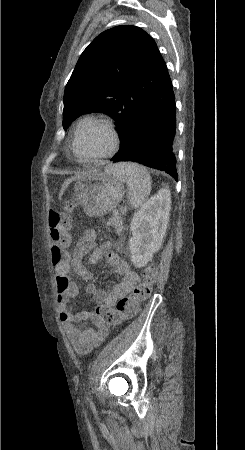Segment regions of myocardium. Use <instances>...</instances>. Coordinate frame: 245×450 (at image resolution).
<instances>
[{"mask_svg": "<svg viewBox=\"0 0 245 450\" xmlns=\"http://www.w3.org/2000/svg\"><path fill=\"white\" fill-rule=\"evenodd\" d=\"M94 127H103L109 132V134L111 136L110 148L105 153L98 154V155L84 156V155L79 154L77 151V142H78L80 135L83 133L84 130H86L88 128H94ZM120 142H121V139H120V135H119V132H118L116 126L108 119L96 118V119H92L89 122L78 123V125L76 126V128L73 132V137H72V142H71V150L78 159L101 160V159H106V158L113 156L118 151Z\"/></svg>", "mask_w": 245, "mask_h": 450, "instance_id": "myocardium-1", "label": "myocardium"}]
</instances>
